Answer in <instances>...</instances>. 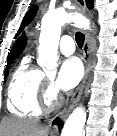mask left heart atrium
I'll return each instance as SVG.
<instances>
[{"label": "left heart atrium", "instance_id": "39dd6f15", "mask_svg": "<svg viewBox=\"0 0 117 136\" xmlns=\"http://www.w3.org/2000/svg\"><path fill=\"white\" fill-rule=\"evenodd\" d=\"M83 76V67L81 62L75 58L70 57L63 60L60 65L57 76V88L66 91L75 87Z\"/></svg>", "mask_w": 117, "mask_h": 136}]
</instances>
